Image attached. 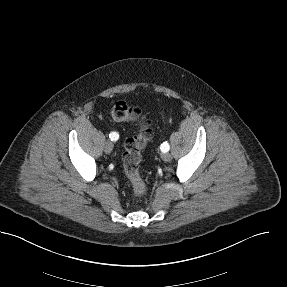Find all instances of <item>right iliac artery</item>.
Listing matches in <instances>:
<instances>
[{
  "mask_svg": "<svg viewBox=\"0 0 287 287\" xmlns=\"http://www.w3.org/2000/svg\"><path fill=\"white\" fill-rule=\"evenodd\" d=\"M109 137H110L111 141H116V140H118L119 135H118V133H116V132H111V133L109 134Z\"/></svg>",
  "mask_w": 287,
  "mask_h": 287,
  "instance_id": "82829eb1",
  "label": "right iliac artery"
}]
</instances>
